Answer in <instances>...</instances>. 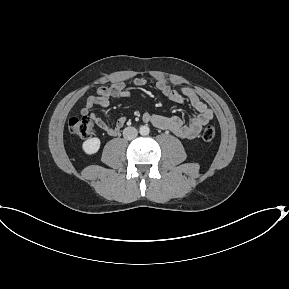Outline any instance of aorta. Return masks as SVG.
Instances as JSON below:
<instances>
[{
	"label": "aorta",
	"mask_w": 289,
	"mask_h": 289,
	"mask_svg": "<svg viewBox=\"0 0 289 289\" xmlns=\"http://www.w3.org/2000/svg\"><path fill=\"white\" fill-rule=\"evenodd\" d=\"M139 133L142 135V136H146L150 133V129L147 125H143L140 127L139 129Z\"/></svg>",
	"instance_id": "762f6f07"
}]
</instances>
